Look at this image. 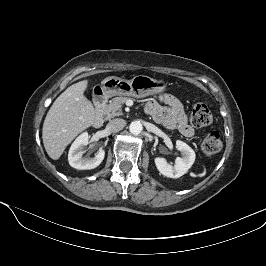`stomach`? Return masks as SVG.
Here are the masks:
<instances>
[{
	"label": "stomach",
	"instance_id": "0dacf381",
	"mask_svg": "<svg viewBox=\"0 0 266 266\" xmlns=\"http://www.w3.org/2000/svg\"><path fill=\"white\" fill-rule=\"evenodd\" d=\"M167 89V83L149 76L138 75L131 80L110 76L101 83V90L106 97L116 95L133 96L143 98L153 94H159Z\"/></svg>",
	"mask_w": 266,
	"mask_h": 266
}]
</instances>
